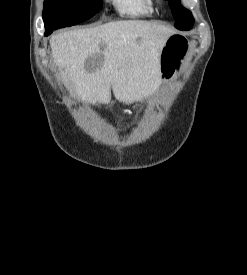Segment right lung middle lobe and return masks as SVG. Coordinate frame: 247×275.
<instances>
[{"mask_svg":"<svg viewBox=\"0 0 247 275\" xmlns=\"http://www.w3.org/2000/svg\"><path fill=\"white\" fill-rule=\"evenodd\" d=\"M102 7V0H45L43 21L46 32L90 19Z\"/></svg>","mask_w":247,"mask_h":275,"instance_id":"dd1d6c3e","label":"right lung middle lobe"}]
</instances>
